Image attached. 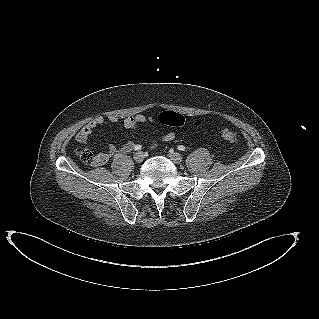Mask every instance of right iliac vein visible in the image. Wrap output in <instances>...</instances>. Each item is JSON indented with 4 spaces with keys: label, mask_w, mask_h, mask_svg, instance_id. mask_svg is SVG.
<instances>
[{
    "label": "right iliac vein",
    "mask_w": 319,
    "mask_h": 319,
    "mask_svg": "<svg viewBox=\"0 0 319 319\" xmlns=\"http://www.w3.org/2000/svg\"><path fill=\"white\" fill-rule=\"evenodd\" d=\"M134 161L137 162V163H141L143 162L144 160V155L142 152H137L135 155H134Z\"/></svg>",
    "instance_id": "1"
}]
</instances>
